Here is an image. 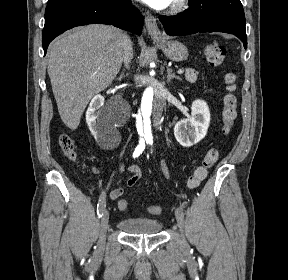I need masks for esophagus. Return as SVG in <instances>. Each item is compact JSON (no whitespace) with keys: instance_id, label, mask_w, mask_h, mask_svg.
<instances>
[{"instance_id":"34e87169","label":"esophagus","mask_w":288,"mask_h":280,"mask_svg":"<svg viewBox=\"0 0 288 280\" xmlns=\"http://www.w3.org/2000/svg\"><path fill=\"white\" fill-rule=\"evenodd\" d=\"M145 26L147 28L148 34L153 39L161 38V31L157 24V19L149 12L145 14Z\"/></svg>"}]
</instances>
